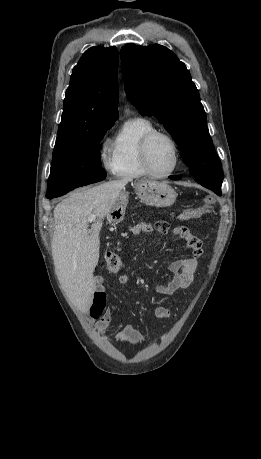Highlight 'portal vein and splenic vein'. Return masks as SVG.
Here are the masks:
<instances>
[{
    "mask_svg": "<svg viewBox=\"0 0 261 459\" xmlns=\"http://www.w3.org/2000/svg\"><path fill=\"white\" fill-rule=\"evenodd\" d=\"M95 220H96V215H94V214H91L87 219V221L89 223L94 222Z\"/></svg>",
    "mask_w": 261,
    "mask_h": 459,
    "instance_id": "obj_1",
    "label": "portal vein and splenic vein"
}]
</instances>
